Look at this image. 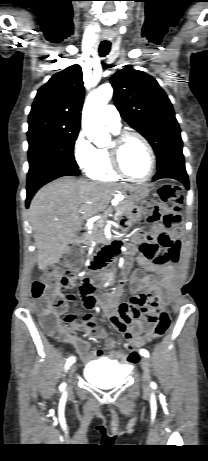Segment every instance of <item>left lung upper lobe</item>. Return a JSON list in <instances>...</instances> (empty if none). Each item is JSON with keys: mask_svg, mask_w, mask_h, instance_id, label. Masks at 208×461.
<instances>
[{"mask_svg": "<svg viewBox=\"0 0 208 461\" xmlns=\"http://www.w3.org/2000/svg\"><path fill=\"white\" fill-rule=\"evenodd\" d=\"M121 117L151 144L158 169L182 157V139L172 104L158 82L143 71L125 68L110 79Z\"/></svg>", "mask_w": 208, "mask_h": 461, "instance_id": "obj_1", "label": "left lung upper lobe"}]
</instances>
